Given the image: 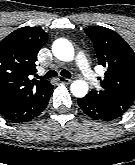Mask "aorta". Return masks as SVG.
<instances>
[{"mask_svg": "<svg viewBox=\"0 0 135 165\" xmlns=\"http://www.w3.org/2000/svg\"><path fill=\"white\" fill-rule=\"evenodd\" d=\"M52 52L56 58L62 61H72L74 48L66 39H58L52 46ZM71 93L78 98L84 97L88 92V84L83 80H76L71 84Z\"/></svg>", "mask_w": 135, "mask_h": 165, "instance_id": "762f6f07", "label": "aorta"}]
</instances>
